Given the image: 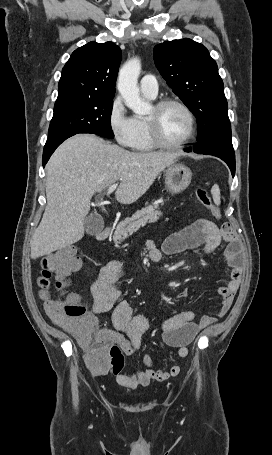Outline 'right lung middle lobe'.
<instances>
[{"instance_id": "right-lung-middle-lobe-1", "label": "right lung middle lobe", "mask_w": 272, "mask_h": 455, "mask_svg": "<svg viewBox=\"0 0 272 455\" xmlns=\"http://www.w3.org/2000/svg\"><path fill=\"white\" fill-rule=\"evenodd\" d=\"M112 107V99L56 101L48 139L79 133L113 138L110 122Z\"/></svg>"}]
</instances>
